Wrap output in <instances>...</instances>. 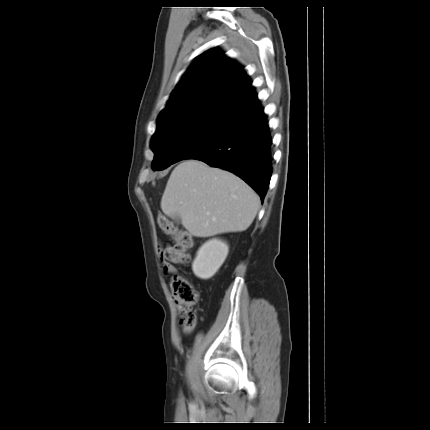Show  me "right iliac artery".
<instances>
[{
    "instance_id": "obj_1",
    "label": "right iliac artery",
    "mask_w": 430,
    "mask_h": 430,
    "mask_svg": "<svg viewBox=\"0 0 430 430\" xmlns=\"http://www.w3.org/2000/svg\"><path fill=\"white\" fill-rule=\"evenodd\" d=\"M200 340V338H199V335H198V337H197V340L196 341H199Z\"/></svg>"
}]
</instances>
